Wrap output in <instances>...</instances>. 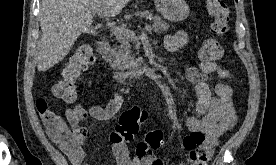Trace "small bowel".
Returning <instances> with one entry per match:
<instances>
[{
    "label": "small bowel",
    "mask_w": 276,
    "mask_h": 165,
    "mask_svg": "<svg viewBox=\"0 0 276 165\" xmlns=\"http://www.w3.org/2000/svg\"><path fill=\"white\" fill-rule=\"evenodd\" d=\"M189 37L185 31H177L165 37L164 44L168 52L174 53L188 43ZM187 79L195 85L197 102L195 115L185 118L186 127L190 132H199L205 136L203 145L191 152L186 162L181 165H206L213 154V149L220 137L230 130L237 122L238 116L232 100V88L224 81L217 82L213 89L208 84V77L216 75L222 80L232 79V73L215 61H202L199 67H185ZM123 99L115 94L104 106L93 104L84 108L77 104L66 111V117L73 127L75 141L71 145H63L58 141L60 149L73 165H91L83 149L84 143L92 137L87 127L81 123L89 118L99 122H109L119 112ZM41 119L50 135V125L46 118ZM63 125L66 124L62 121ZM113 153L117 165H164L165 161L154 153H140L131 157L127 143H114Z\"/></svg>",
    "instance_id": "obj_1"
}]
</instances>
